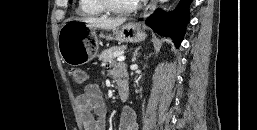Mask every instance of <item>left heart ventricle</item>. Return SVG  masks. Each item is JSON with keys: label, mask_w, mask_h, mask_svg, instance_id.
<instances>
[{"label": "left heart ventricle", "mask_w": 257, "mask_h": 130, "mask_svg": "<svg viewBox=\"0 0 257 130\" xmlns=\"http://www.w3.org/2000/svg\"><path fill=\"white\" fill-rule=\"evenodd\" d=\"M139 0H112V2L119 7H129Z\"/></svg>", "instance_id": "b2bd125f"}]
</instances>
